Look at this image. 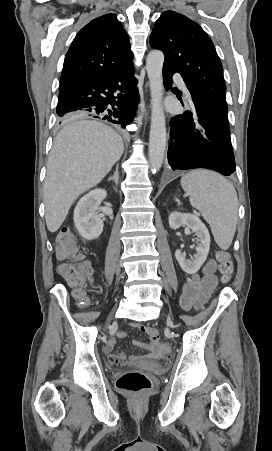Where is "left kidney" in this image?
<instances>
[{
	"instance_id": "5707ae66",
	"label": "left kidney",
	"mask_w": 272,
	"mask_h": 451,
	"mask_svg": "<svg viewBox=\"0 0 272 451\" xmlns=\"http://www.w3.org/2000/svg\"><path fill=\"white\" fill-rule=\"evenodd\" d=\"M169 226L177 229L180 226H187L195 231L197 235L196 253L191 255V259H186V253H182L181 249H176L175 257L186 273H196L207 259L210 249V235L207 227L194 214H180V212H172L169 216Z\"/></svg>"
}]
</instances>
